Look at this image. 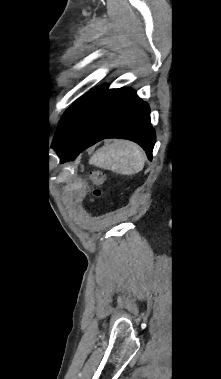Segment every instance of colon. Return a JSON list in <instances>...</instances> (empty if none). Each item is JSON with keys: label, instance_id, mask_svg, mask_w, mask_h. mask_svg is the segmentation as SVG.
<instances>
[{"label": "colon", "instance_id": "5ec220e1", "mask_svg": "<svg viewBox=\"0 0 221 379\" xmlns=\"http://www.w3.org/2000/svg\"><path fill=\"white\" fill-rule=\"evenodd\" d=\"M92 187H91V194L93 197L100 196L101 192L99 190V186L104 182L105 180V174L101 171H93L90 175Z\"/></svg>", "mask_w": 221, "mask_h": 379}]
</instances>
